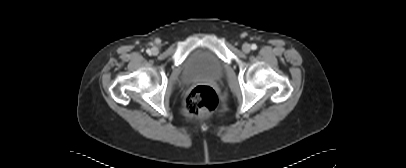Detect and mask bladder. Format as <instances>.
Listing matches in <instances>:
<instances>
[{
    "label": "bladder",
    "mask_w": 406,
    "mask_h": 168,
    "mask_svg": "<svg viewBox=\"0 0 406 168\" xmlns=\"http://www.w3.org/2000/svg\"><path fill=\"white\" fill-rule=\"evenodd\" d=\"M223 72L224 66L220 58L211 51L200 49L192 52L185 60L181 80L189 83L198 79H218Z\"/></svg>",
    "instance_id": "31cf9c89"
}]
</instances>
